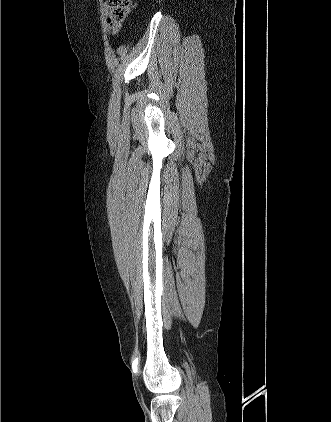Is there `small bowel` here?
Masks as SVG:
<instances>
[{
  "mask_svg": "<svg viewBox=\"0 0 331 422\" xmlns=\"http://www.w3.org/2000/svg\"><path fill=\"white\" fill-rule=\"evenodd\" d=\"M109 26H110L111 33L113 35H116L121 29V25L117 22L112 21V20H109Z\"/></svg>",
  "mask_w": 331,
  "mask_h": 422,
  "instance_id": "c3829d8e",
  "label": "small bowel"
}]
</instances>
